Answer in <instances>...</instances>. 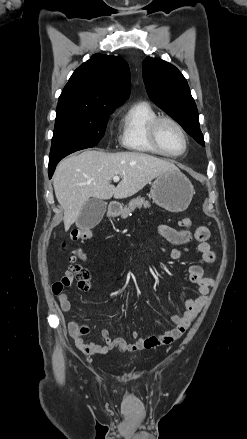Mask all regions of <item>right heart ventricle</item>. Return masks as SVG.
Here are the masks:
<instances>
[{"label": "right heart ventricle", "mask_w": 247, "mask_h": 439, "mask_svg": "<svg viewBox=\"0 0 247 439\" xmlns=\"http://www.w3.org/2000/svg\"><path fill=\"white\" fill-rule=\"evenodd\" d=\"M159 114L144 101L132 104L122 115L119 142L127 150L159 154L149 140V126Z\"/></svg>", "instance_id": "right-heart-ventricle-1"}]
</instances>
